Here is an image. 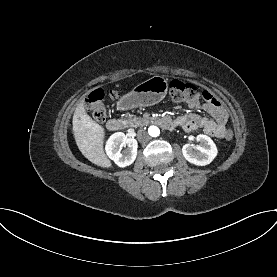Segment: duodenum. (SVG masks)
<instances>
[{
    "mask_svg": "<svg viewBox=\"0 0 277 277\" xmlns=\"http://www.w3.org/2000/svg\"><path fill=\"white\" fill-rule=\"evenodd\" d=\"M157 122L163 126H166L168 128H172L173 125L172 123L166 119V118H162V119H159L157 120ZM107 129L110 130V131H117V130H120L123 126V123L121 120L117 119V118H111L110 120H108L107 124Z\"/></svg>",
    "mask_w": 277,
    "mask_h": 277,
    "instance_id": "1",
    "label": "duodenum"
}]
</instances>
